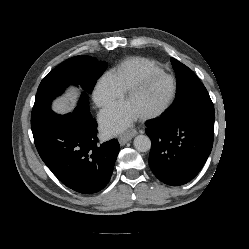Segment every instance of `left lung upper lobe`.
Segmentation results:
<instances>
[{"mask_svg":"<svg viewBox=\"0 0 249 249\" xmlns=\"http://www.w3.org/2000/svg\"><path fill=\"white\" fill-rule=\"evenodd\" d=\"M171 63L176 72L177 90L173 104L161 118L177 122L192 116L214 113L210 96L195 73L175 58H171Z\"/></svg>","mask_w":249,"mask_h":249,"instance_id":"5c2ea615","label":"left lung upper lobe"}]
</instances>
